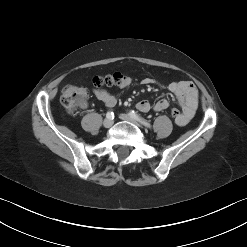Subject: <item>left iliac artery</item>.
<instances>
[{"instance_id":"44dca946","label":"left iliac artery","mask_w":247,"mask_h":247,"mask_svg":"<svg viewBox=\"0 0 247 247\" xmlns=\"http://www.w3.org/2000/svg\"><path fill=\"white\" fill-rule=\"evenodd\" d=\"M130 116L133 117L135 120L139 121L141 124H143L146 127H151V124L149 122H147L143 117H141L140 115H138L135 111H130L129 112Z\"/></svg>"}]
</instances>
